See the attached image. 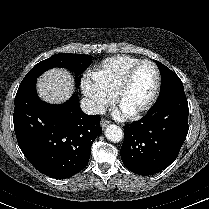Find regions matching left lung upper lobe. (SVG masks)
Returning a JSON list of instances; mask_svg holds the SVG:
<instances>
[{
    "mask_svg": "<svg viewBox=\"0 0 209 209\" xmlns=\"http://www.w3.org/2000/svg\"><path fill=\"white\" fill-rule=\"evenodd\" d=\"M161 74V90L160 95L170 90L184 89L180 78L162 63L156 61Z\"/></svg>",
    "mask_w": 209,
    "mask_h": 209,
    "instance_id": "left-lung-upper-lobe-1",
    "label": "left lung upper lobe"
}]
</instances>
